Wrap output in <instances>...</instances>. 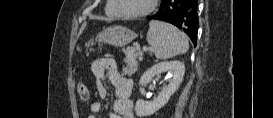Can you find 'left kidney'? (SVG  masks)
Here are the masks:
<instances>
[{"instance_id": "left-kidney-1", "label": "left kidney", "mask_w": 273, "mask_h": 118, "mask_svg": "<svg viewBox=\"0 0 273 118\" xmlns=\"http://www.w3.org/2000/svg\"><path fill=\"white\" fill-rule=\"evenodd\" d=\"M167 72L169 84L164 86L159 96L153 101L138 100L135 105L136 115L139 117L150 116L162 108L170 97L179 88L185 73V66L180 61L161 62L148 69L139 81L141 86L148 84L161 73Z\"/></svg>"}]
</instances>
